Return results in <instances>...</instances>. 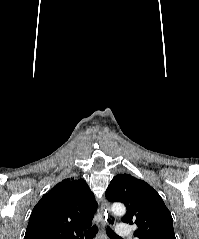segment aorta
I'll list each match as a JSON object with an SVG mask.
<instances>
[{"label":"aorta","mask_w":199,"mask_h":239,"mask_svg":"<svg viewBox=\"0 0 199 239\" xmlns=\"http://www.w3.org/2000/svg\"><path fill=\"white\" fill-rule=\"evenodd\" d=\"M111 210L116 215H124L126 212V208L121 203H114L111 207Z\"/></svg>","instance_id":"762f6f07"}]
</instances>
